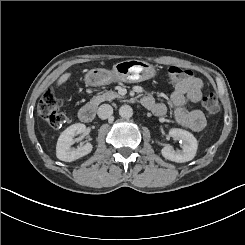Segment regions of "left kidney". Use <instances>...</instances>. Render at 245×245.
Wrapping results in <instances>:
<instances>
[{
	"instance_id": "obj_1",
	"label": "left kidney",
	"mask_w": 245,
	"mask_h": 245,
	"mask_svg": "<svg viewBox=\"0 0 245 245\" xmlns=\"http://www.w3.org/2000/svg\"><path fill=\"white\" fill-rule=\"evenodd\" d=\"M169 136L173 139H180L183 143L182 150H174L167 145L161 149V155L170 161L177 163H184L194 159L198 143L194 135L186 130L179 128H172Z\"/></svg>"
}]
</instances>
